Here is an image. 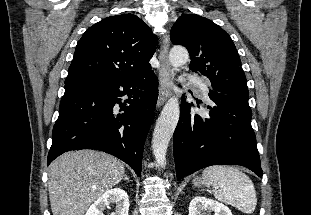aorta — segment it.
<instances>
[{"label":"aorta","mask_w":311,"mask_h":215,"mask_svg":"<svg viewBox=\"0 0 311 215\" xmlns=\"http://www.w3.org/2000/svg\"><path fill=\"white\" fill-rule=\"evenodd\" d=\"M189 59L185 47L174 46L169 52V62L174 67L184 65ZM180 116L178 98L171 97L163 107L156 122L152 138L153 155L160 168H165L166 152Z\"/></svg>","instance_id":"1"}]
</instances>
